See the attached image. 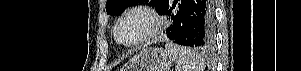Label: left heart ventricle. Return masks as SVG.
<instances>
[{"instance_id": "left-heart-ventricle-1", "label": "left heart ventricle", "mask_w": 301, "mask_h": 71, "mask_svg": "<svg viewBox=\"0 0 301 71\" xmlns=\"http://www.w3.org/2000/svg\"><path fill=\"white\" fill-rule=\"evenodd\" d=\"M148 26L146 17L140 14L131 15L121 22L118 29L119 39L124 43H132L146 32Z\"/></svg>"}]
</instances>
